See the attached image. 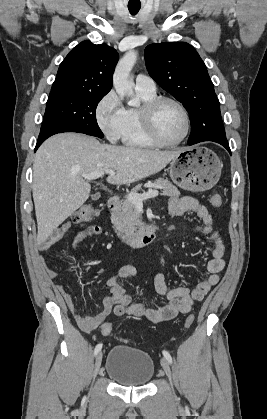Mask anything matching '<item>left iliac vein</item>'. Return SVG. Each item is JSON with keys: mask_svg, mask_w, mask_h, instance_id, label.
<instances>
[{"mask_svg": "<svg viewBox=\"0 0 267 419\" xmlns=\"http://www.w3.org/2000/svg\"><path fill=\"white\" fill-rule=\"evenodd\" d=\"M161 365L164 369V372L166 374V376L168 377L170 383L172 384V372H171V368L169 366V363L167 362L166 359L162 358L161 359Z\"/></svg>", "mask_w": 267, "mask_h": 419, "instance_id": "left-iliac-vein-1", "label": "left iliac vein"}]
</instances>
